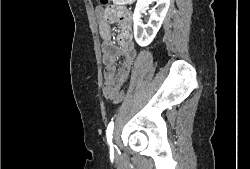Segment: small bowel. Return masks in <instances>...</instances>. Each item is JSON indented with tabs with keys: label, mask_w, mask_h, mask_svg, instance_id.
Masks as SVG:
<instances>
[{
	"label": "small bowel",
	"mask_w": 250,
	"mask_h": 169,
	"mask_svg": "<svg viewBox=\"0 0 250 169\" xmlns=\"http://www.w3.org/2000/svg\"><path fill=\"white\" fill-rule=\"evenodd\" d=\"M118 15L124 19L125 14L122 10H117ZM111 13L106 15V19H103L100 23V35L103 40V56L102 60L104 63V84L103 94L106 97L109 91H117L120 88V83H126L130 70L132 68L134 59L137 51L133 43H124L120 48L114 46L110 42V29L108 21H110ZM125 28V38H129L128 24L127 21H122ZM122 56L123 63L120 68H117V58Z\"/></svg>",
	"instance_id": "1"
}]
</instances>
